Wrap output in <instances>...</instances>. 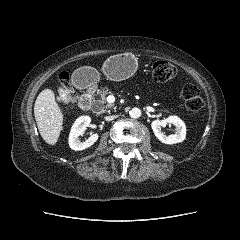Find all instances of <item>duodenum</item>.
I'll return each mask as SVG.
<instances>
[{
    "label": "duodenum",
    "mask_w": 240,
    "mask_h": 240,
    "mask_svg": "<svg viewBox=\"0 0 240 240\" xmlns=\"http://www.w3.org/2000/svg\"><path fill=\"white\" fill-rule=\"evenodd\" d=\"M80 86L85 89V92L80 98L79 106L82 110L88 111L91 108L92 103V91L94 87L92 85H89L86 81V79H83L80 83Z\"/></svg>",
    "instance_id": "duodenum-1"
}]
</instances>
